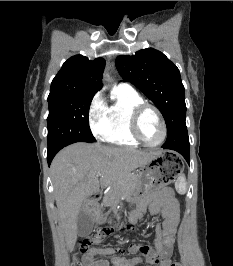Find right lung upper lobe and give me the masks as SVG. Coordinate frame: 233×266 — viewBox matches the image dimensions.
I'll return each mask as SVG.
<instances>
[{"instance_id":"right-lung-upper-lobe-1","label":"right lung upper lobe","mask_w":233,"mask_h":266,"mask_svg":"<svg viewBox=\"0 0 233 266\" xmlns=\"http://www.w3.org/2000/svg\"><path fill=\"white\" fill-rule=\"evenodd\" d=\"M103 58L91 61L82 55L69 58L51 83L48 99L74 94H95L102 88Z\"/></svg>"}]
</instances>
